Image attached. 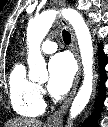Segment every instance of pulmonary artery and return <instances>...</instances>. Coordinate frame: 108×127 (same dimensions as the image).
<instances>
[{
	"instance_id": "1",
	"label": "pulmonary artery",
	"mask_w": 108,
	"mask_h": 127,
	"mask_svg": "<svg viewBox=\"0 0 108 127\" xmlns=\"http://www.w3.org/2000/svg\"><path fill=\"white\" fill-rule=\"evenodd\" d=\"M57 50V44L52 40H46L41 45V51L43 53H53Z\"/></svg>"
}]
</instances>
